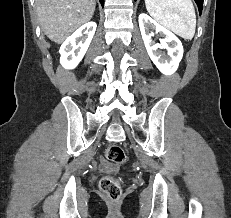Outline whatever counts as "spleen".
<instances>
[{"label": "spleen", "instance_id": "spleen-1", "mask_svg": "<svg viewBox=\"0 0 231 218\" xmlns=\"http://www.w3.org/2000/svg\"><path fill=\"white\" fill-rule=\"evenodd\" d=\"M145 5L155 20L180 37H194L196 15L191 0H145Z\"/></svg>", "mask_w": 231, "mask_h": 218}]
</instances>
